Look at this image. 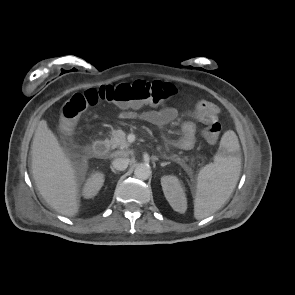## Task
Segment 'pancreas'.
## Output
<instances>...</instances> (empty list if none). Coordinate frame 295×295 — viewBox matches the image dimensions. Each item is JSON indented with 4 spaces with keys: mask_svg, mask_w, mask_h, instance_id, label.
<instances>
[{
    "mask_svg": "<svg viewBox=\"0 0 295 295\" xmlns=\"http://www.w3.org/2000/svg\"><path fill=\"white\" fill-rule=\"evenodd\" d=\"M110 144L112 148H119L122 153H125L130 145L126 140V133L122 129L111 132Z\"/></svg>",
    "mask_w": 295,
    "mask_h": 295,
    "instance_id": "1",
    "label": "pancreas"
}]
</instances>
